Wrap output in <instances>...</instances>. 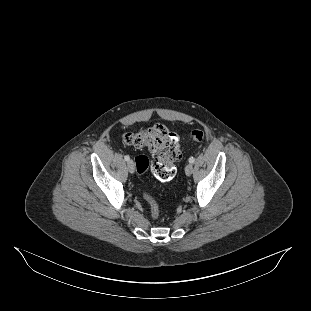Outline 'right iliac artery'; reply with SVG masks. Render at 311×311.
I'll list each match as a JSON object with an SVG mask.
<instances>
[{"label":"right iliac artery","instance_id":"82829eb1","mask_svg":"<svg viewBox=\"0 0 311 311\" xmlns=\"http://www.w3.org/2000/svg\"><path fill=\"white\" fill-rule=\"evenodd\" d=\"M124 159H125L126 161H129V160H130V157H129L128 155H126V156H124Z\"/></svg>","mask_w":311,"mask_h":311}]
</instances>
